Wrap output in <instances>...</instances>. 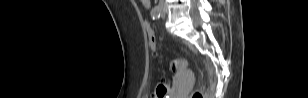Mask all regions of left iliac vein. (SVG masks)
<instances>
[{
    "mask_svg": "<svg viewBox=\"0 0 308 98\" xmlns=\"http://www.w3.org/2000/svg\"><path fill=\"white\" fill-rule=\"evenodd\" d=\"M161 16H162V18H164L166 16V8L164 6H162V8H161Z\"/></svg>",
    "mask_w": 308,
    "mask_h": 98,
    "instance_id": "1",
    "label": "left iliac vein"
}]
</instances>
